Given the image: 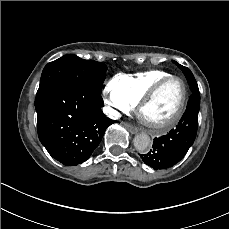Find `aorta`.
Here are the masks:
<instances>
[{"label":"aorta","mask_w":229,"mask_h":229,"mask_svg":"<svg viewBox=\"0 0 229 229\" xmlns=\"http://www.w3.org/2000/svg\"><path fill=\"white\" fill-rule=\"evenodd\" d=\"M134 147L139 152H145L150 146V137L145 133L137 134L133 140Z\"/></svg>","instance_id":"1"}]
</instances>
